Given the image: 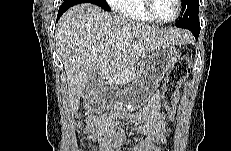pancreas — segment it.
I'll use <instances>...</instances> for the list:
<instances>
[{
	"mask_svg": "<svg viewBox=\"0 0 231 151\" xmlns=\"http://www.w3.org/2000/svg\"><path fill=\"white\" fill-rule=\"evenodd\" d=\"M133 68L130 69L129 72L127 73H121L117 76V78H115L114 82L115 84H125L131 80H133L135 78V75L133 74Z\"/></svg>",
	"mask_w": 231,
	"mask_h": 151,
	"instance_id": "pancreas-1",
	"label": "pancreas"
}]
</instances>
